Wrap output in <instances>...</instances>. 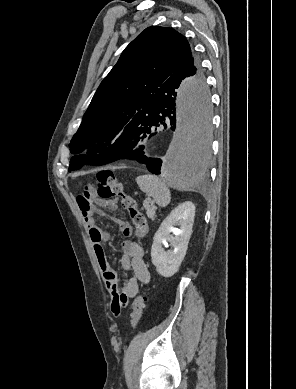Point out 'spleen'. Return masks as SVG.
Wrapping results in <instances>:
<instances>
[{
  "label": "spleen",
  "instance_id": "1",
  "mask_svg": "<svg viewBox=\"0 0 296 389\" xmlns=\"http://www.w3.org/2000/svg\"><path fill=\"white\" fill-rule=\"evenodd\" d=\"M136 182L140 189L152 196L159 206L166 207L170 203V190L160 178L154 175H142L136 178Z\"/></svg>",
  "mask_w": 296,
  "mask_h": 389
}]
</instances>
